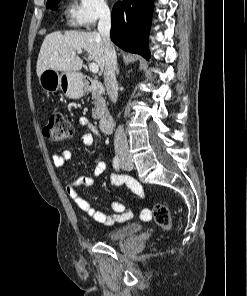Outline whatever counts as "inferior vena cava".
I'll use <instances>...</instances> for the list:
<instances>
[{
	"label": "inferior vena cava",
	"mask_w": 247,
	"mask_h": 296,
	"mask_svg": "<svg viewBox=\"0 0 247 296\" xmlns=\"http://www.w3.org/2000/svg\"><path fill=\"white\" fill-rule=\"evenodd\" d=\"M111 16L107 7L102 8L98 23V31L104 44V82L107 94L113 103L118 99V84L115 76L117 57L113 44L110 40ZM116 152L128 151V142L123 126H118L114 137Z\"/></svg>",
	"instance_id": "obj_1"
}]
</instances>
